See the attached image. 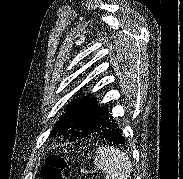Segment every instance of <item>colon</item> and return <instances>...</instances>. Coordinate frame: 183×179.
<instances>
[{"label":"colon","mask_w":183,"mask_h":179,"mask_svg":"<svg viewBox=\"0 0 183 179\" xmlns=\"http://www.w3.org/2000/svg\"><path fill=\"white\" fill-rule=\"evenodd\" d=\"M42 179H69L67 161L58 154L50 155L41 170Z\"/></svg>","instance_id":"obj_1"}]
</instances>
